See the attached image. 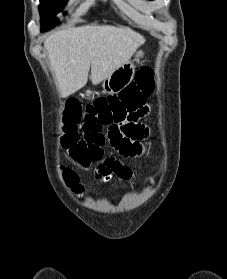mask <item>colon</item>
Instances as JSON below:
<instances>
[{"instance_id": "obj_1", "label": "colon", "mask_w": 227, "mask_h": 279, "mask_svg": "<svg viewBox=\"0 0 227 279\" xmlns=\"http://www.w3.org/2000/svg\"><path fill=\"white\" fill-rule=\"evenodd\" d=\"M154 72L151 68L140 69L136 73L135 84L126 87L119 96L96 99L85 110L79 102L72 101L66 108V124L63 127V145L70 157L82 166H88L102 157L106 144L103 127H108L110 139H115L119 130L132 138L128 150L129 157H138L143 151L140 143L147 131L138 125L139 119L148 114V107L143 98L152 95ZM82 122L83 136L78 133ZM68 184L77 187V177L72 171L67 172Z\"/></svg>"}]
</instances>
